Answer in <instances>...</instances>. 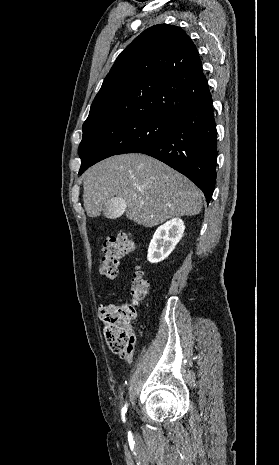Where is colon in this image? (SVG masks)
Here are the masks:
<instances>
[{
	"instance_id": "5ec220e1",
	"label": "colon",
	"mask_w": 279,
	"mask_h": 465,
	"mask_svg": "<svg viewBox=\"0 0 279 465\" xmlns=\"http://www.w3.org/2000/svg\"><path fill=\"white\" fill-rule=\"evenodd\" d=\"M136 249L134 241L126 234L108 236L103 243L99 263L100 272L110 279L118 276L120 261ZM150 291V283L144 273L137 268L130 285V303L121 305H101L99 317L104 323V336L110 349L118 354H130L134 337L130 327L136 317V306Z\"/></svg>"
}]
</instances>
